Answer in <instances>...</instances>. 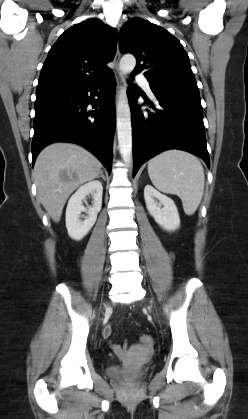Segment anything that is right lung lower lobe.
Masks as SVG:
<instances>
[{"mask_svg":"<svg viewBox=\"0 0 248 419\" xmlns=\"http://www.w3.org/2000/svg\"><path fill=\"white\" fill-rule=\"evenodd\" d=\"M115 89V76L110 70L101 79L82 86L36 93L33 164L45 146L66 141L87 148L111 172Z\"/></svg>","mask_w":248,"mask_h":419,"instance_id":"obj_1","label":"right lung lower lobe"}]
</instances>
